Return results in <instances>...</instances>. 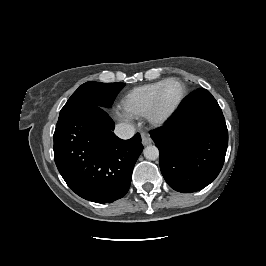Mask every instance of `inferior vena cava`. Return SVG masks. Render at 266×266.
<instances>
[{
	"label": "inferior vena cava",
	"mask_w": 266,
	"mask_h": 266,
	"mask_svg": "<svg viewBox=\"0 0 266 266\" xmlns=\"http://www.w3.org/2000/svg\"><path fill=\"white\" fill-rule=\"evenodd\" d=\"M114 133L121 139H130L135 134V129L131 124L119 123L116 125Z\"/></svg>",
	"instance_id": "602c4592"
}]
</instances>
